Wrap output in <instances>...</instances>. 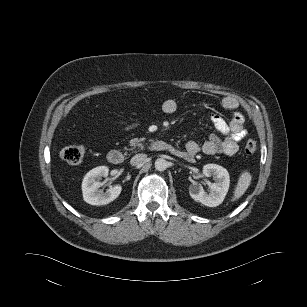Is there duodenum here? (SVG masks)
<instances>
[{
	"mask_svg": "<svg viewBox=\"0 0 307 307\" xmlns=\"http://www.w3.org/2000/svg\"><path fill=\"white\" fill-rule=\"evenodd\" d=\"M148 148L157 152H174V147L166 141L156 140L148 145ZM107 160L112 165H121L124 161V155L119 150H110L107 154Z\"/></svg>",
	"mask_w": 307,
	"mask_h": 307,
	"instance_id": "duodenum-1",
	"label": "duodenum"
}]
</instances>
